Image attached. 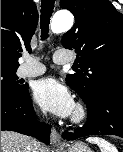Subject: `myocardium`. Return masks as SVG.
<instances>
[{"label":"myocardium","mask_w":123,"mask_h":152,"mask_svg":"<svg viewBox=\"0 0 123 152\" xmlns=\"http://www.w3.org/2000/svg\"><path fill=\"white\" fill-rule=\"evenodd\" d=\"M88 116L89 111L87 106L82 102H78L71 116V122L75 125L81 124L87 120Z\"/></svg>","instance_id":"myocardium-1"}]
</instances>
